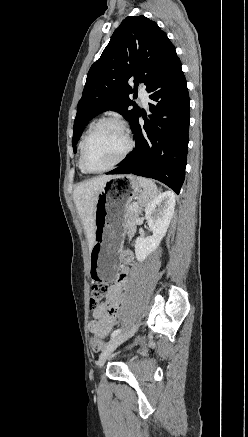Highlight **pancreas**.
Segmentation results:
<instances>
[{
	"label": "pancreas",
	"instance_id": "pancreas-1",
	"mask_svg": "<svg viewBox=\"0 0 248 437\" xmlns=\"http://www.w3.org/2000/svg\"><path fill=\"white\" fill-rule=\"evenodd\" d=\"M139 214H140L139 207H135L133 206V204H130L127 207V210L125 212V220L128 230L133 231L136 229V224L139 218Z\"/></svg>",
	"mask_w": 248,
	"mask_h": 437
}]
</instances>
